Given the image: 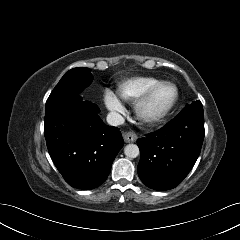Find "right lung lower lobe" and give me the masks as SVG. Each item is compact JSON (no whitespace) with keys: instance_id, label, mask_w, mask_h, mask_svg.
Returning a JSON list of instances; mask_svg holds the SVG:
<instances>
[{"instance_id":"98d812e1","label":"right lung lower lobe","mask_w":240,"mask_h":240,"mask_svg":"<svg viewBox=\"0 0 240 240\" xmlns=\"http://www.w3.org/2000/svg\"><path fill=\"white\" fill-rule=\"evenodd\" d=\"M96 104L80 95L46 104L44 135L48 152L65 181L94 189L108 177L124 141L117 127L107 126Z\"/></svg>"}]
</instances>
